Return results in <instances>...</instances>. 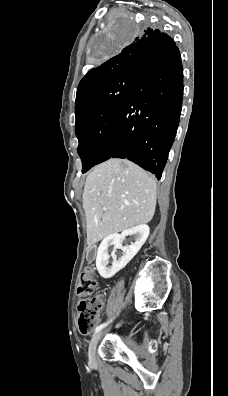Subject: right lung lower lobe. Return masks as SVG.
Returning a JSON list of instances; mask_svg holds the SVG:
<instances>
[{
	"label": "right lung lower lobe",
	"mask_w": 228,
	"mask_h": 396,
	"mask_svg": "<svg viewBox=\"0 0 228 396\" xmlns=\"http://www.w3.org/2000/svg\"><path fill=\"white\" fill-rule=\"evenodd\" d=\"M182 97L181 56L171 38L142 60L97 164L127 158L160 179L178 128Z\"/></svg>",
	"instance_id": "right-lung-lower-lobe-1"
}]
</instances>
